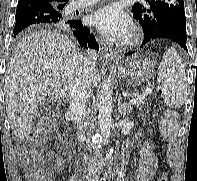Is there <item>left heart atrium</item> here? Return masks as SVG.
I'll return each mask as SVG.
<instances>
[{
    "instance_id": "obj_1",
    "label": "left heart atrium",
    "mask_w": 197,
    "mask_h": 181,
    "mask_svg": "<svg viewBox=\"0 0 197 181\" xmlns=\"http://www.w3.org/2000/svg\"><path fill=\"white\" fill-rule=\"evenodd\" d=\"M91 22L106 36L117 39L125 38L131 27L130 19L115 4L97 10L91 16Z\"/></svg>"
}]
</instances>
